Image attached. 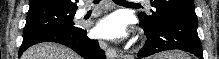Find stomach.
Here are the masks:
<instances>
[{
    "instance_id": "obj_1",
    "label": "stomach",
    "mask_w": 219,
    "mask_h": 59,
    "mask_svg": "<svg viewBox=\"0 0 219 59\" xmlns=\"http://www.w3.org/2000/svg\"><path fill=\"white\" fill-rule=\"evenodd\" d=\"M163 57H167V56H163V55H158V56H156V59H165V58H163Z\"/></svg>"
}]
</instances>
